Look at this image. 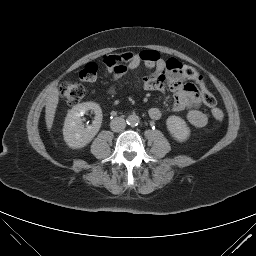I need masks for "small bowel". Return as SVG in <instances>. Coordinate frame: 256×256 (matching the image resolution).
<instances>
[{
  "label": "small bowel",
  "instance_id": "small-bowel-1",
  "mask_svg": "<svg viewBox=\"0 0 256 256\" xmlns=\"http://www.w3.org/2000/svg\"><path fill=\"white\" fill-rule=\"evenodd\" d=\"M123 58L122 64L115 70H110L113 81H117L126 74L135 71L140 65H145L149 73L142 78L141 84L145 91L163 92L167 88L173 93L174 112L187 111L189 123L195 127H203L208 122V117L200 110L201 98L197 87L189 81L181 72L183 64L175 58L167 60L159 58L152 61L143 58L142 52H127L120 54ZM108 92H115L114 86L108 88ZM152 120H158L162 112L158 107H152L148 111Z\"/></svg>",
  "mask_w": 256,
  "mask_h": 256
}]
</instances>
